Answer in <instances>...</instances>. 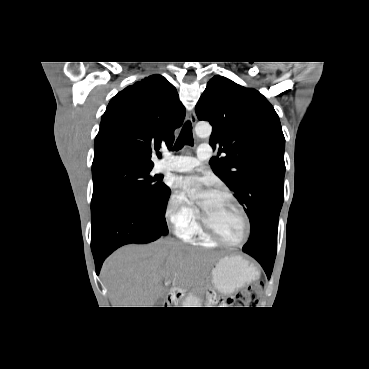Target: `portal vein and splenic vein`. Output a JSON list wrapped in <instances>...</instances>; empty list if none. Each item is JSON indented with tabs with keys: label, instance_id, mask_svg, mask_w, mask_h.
<instances>
[{
	"label": "portal vein and splenic vein",
	"instance_id": "obj_1",
	"mask_svg": "<svg viewBox=\"0 0 369 369\" xmlns=\"http://www.w3.org/2000/svg\"><path fill=\"white\" fill-rule=\"evenodd\" d=\"M171 282V280H166L165 285H169Z\"/></svg>",
	"mask_w": 369,
	"mask_h": 369
}]
</instances>
